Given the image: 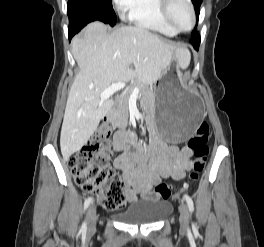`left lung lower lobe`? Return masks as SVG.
<instances>
[{
    "instance_id": "obj_1",
    "label": "left lung lower lobe",
    "mask_w": 264,
    "mask_h": 247,
    "mask_svg": "<svg viewBox=\"0 0 264 247\" xmlns=\"http://www.w3.org/2000/svg\"><path fill=\"white\" fill-rule=\"evenodd\" d=\"M190 42L192 43V45L194 46V48L196 50H198L199 44H200V36H198V37H192V39L190 40Z\"/></svg>"
}]
</instances>
